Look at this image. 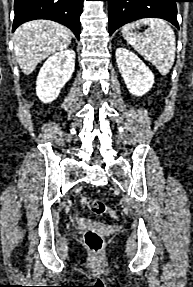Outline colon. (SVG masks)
I'll return each instance as SVG.
<instances>
[{
  "label": "colon",
  "instance_id": "colon-1",
  "mask_svg": "<svg viewBox=\"0 0 193 287\" xmlns=\"http://www.w3.org/2000/svg\"><path fill=\"white\" fill-rule=\"evenodd\" d=\"M81 204L88 208L94 214L109 215L112 218L118 217V213L114 209L107 207L101 201L82 197ZM83 240L87 248L94 253H98L102 249L104 244L103 236L93 228H87L85 230Z\"/></svg>",
  "mask_w": 193,
  "mask_h": 287
}]
</instances>
